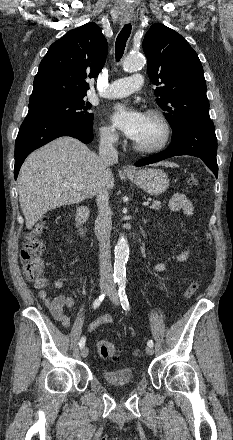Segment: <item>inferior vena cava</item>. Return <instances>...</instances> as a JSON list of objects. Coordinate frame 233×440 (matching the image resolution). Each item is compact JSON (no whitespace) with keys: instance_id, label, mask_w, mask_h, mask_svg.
<instances>
[{"instance_id":"1","label":"inferior vena cava","mask_w":233,"mask_h":440,"mask_svg":"<svg viewBox=\"0 0 233 440\" xmlns=\"http://www.w3.org/2000/svg\"><path fill=\"white\" fill-rule=\"evenodd\" d=\"M115 138L112 134L101 137L99 144V156L105 167L118 162V152L113 146ZM98 216L95 221V234L99 241V266L100 283L113 284V270L111 264L110 234L112 230V212L109 207V192L107 189L100 191L96 198Z\"/></svg>"}]
</instances>
